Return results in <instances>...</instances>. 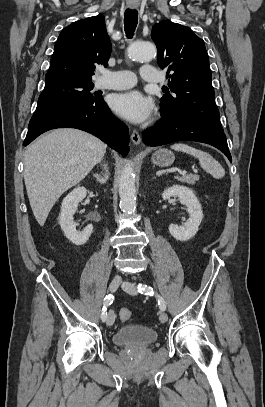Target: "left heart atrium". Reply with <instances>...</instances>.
Listing matches in <instances>:
<instances>
[{"mask_svg":"<svg viewBox=\"0 0 265 407\" xmlns=\"http://www.w3.org/2000/svg\"><path fill=\"white\" fill-rule=\"evenodd\" d=\"M110 105L119 116L132 123L147 120L153 112V102L139 91L118 93L112 96Z\"/></svg>","mask_w":265,"mask_h":407,"instance_id":"1","label":"left heart atrium"}]
</instances>
